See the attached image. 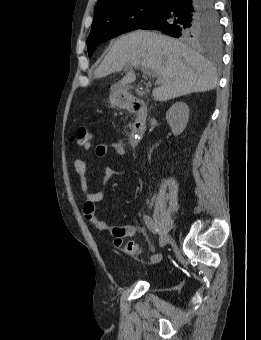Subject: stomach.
<instances>
[{
    "mask_svg": "<svg viewBox=\"0 0 261 340\" xmlns=\"http://www.w3.org/2000/svg\"><path fill=\"white\" fill-rule=\"evenodd\" d=\"M128 93L124 89L113 88L110 93L109 102L114 108H121L125 105Z\"/></svg>",
    "mask_w": 261,
    "mask_h": 340,
    "instance_id": "obj_1",
    "label": "stomach"
}]
</instances>
